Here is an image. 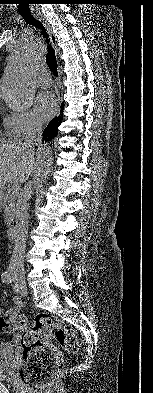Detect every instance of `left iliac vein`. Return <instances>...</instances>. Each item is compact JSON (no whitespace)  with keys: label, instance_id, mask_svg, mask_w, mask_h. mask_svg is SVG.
Here are the masks:
<instances>
[{"label":"left iliac vein","instance_id":"4c4485c4","mask_svg":"<svg viewBox=\"0 0 153 393\" xmlns=\"http://www.w3.org/2000/svg\"><path fill=\"white\" fill-rule=\"evenodd\" d=\"M13 287H14L15 291L20 293L21 295L27 294V287H26L25 283L19 284L18 282H15Z\"/></svg>","mask_w":153,"mask_h":393}]
</instances>
